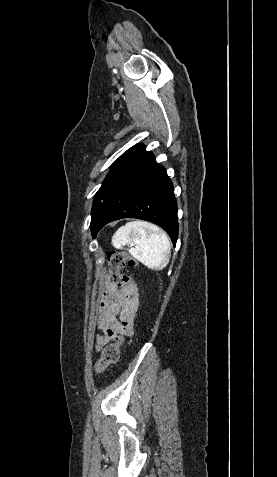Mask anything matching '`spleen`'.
<instances>
[{
  "instance_id": "3e777b00",
  "label": "spleen",
  "mask_w": 277,
  "mask_h": 477,
  "mask_svg": "<svg viewBox=\"0 0 277 477\" xmlns=\"http://www.w3.org/2000/svg\"><path fill=\"white\" fill-rule=\"evenodd\" d=\"M112 245L117 249L127 245L133 258L152 270H162L170 260L168 236L148 222L136 220L120 227L112 237Z\"/></svg>"
}]
</instances>
